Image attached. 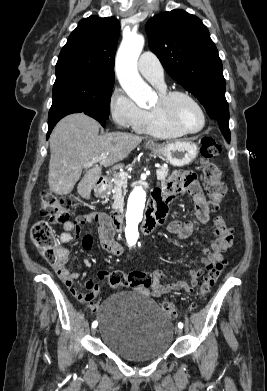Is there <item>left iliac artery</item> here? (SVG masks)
I'll list each match as a JSON object with an SVG mask.
<instances>
[{
  "label": "left iliac artery",
  "mask_w": 267,
  "mask_h": 391,
  "mask_svg": "<svg viewBox=\"0 0 267 391\" xmlns=\"http://www.w3.org/2000/svg\"><path fill=\"white\" fill-rule=\"evenodd\" d=\"M178 327H179V328H183V323L179 322V323H178Z\"/></svg>",
  "instance_id": "left-iliac-artery-1"
}]
</instances>
